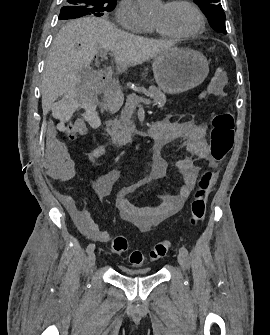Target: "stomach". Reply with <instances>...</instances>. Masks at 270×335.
I'll return each mask as SVG.
<instances>
[{"instance_id": "obj_1", "label": "stomach", "mask_w": 270, "mask_h": 335, "mask_svg": "<svg viewBox=\"0 0 270 335\" xmlns=\"http://www.w3.org/2000/svg\"><path fill=\"white\" fill-rule=\"evenodd\" d=\"M153 74L160 90L182 94L197 88L209 74V62L192 48H173L153 58Z\"/></svg>"}]
</instances>
